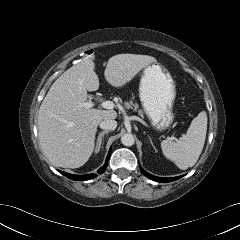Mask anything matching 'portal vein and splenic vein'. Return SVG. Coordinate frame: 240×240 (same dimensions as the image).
<instances>
[{
    "mask_svg": "<svg viewBox=\"0 0 240 240\" xmlns=\"http://www.w3.org/2000/svg\"><path fill=\"white\" fill-rule=\"evenodd\" d=\"M102 108L112 110L114 108V103L112 101H103L101 104ZM94 106L92 102H83L79 104V107H84L85 109H90ZM171 140L175 139L174 137L170 138Z\"/></svg>",
    "mask_w": 240,
    "mask_h": 240,
    "instance_id": "obj_1",
    "label": "portal vein and splenic vein"
}]
</instances>
